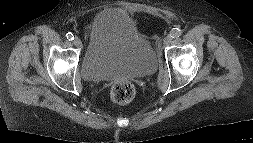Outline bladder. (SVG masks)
<instances>
[{
	"label": "bladder",
	"mask_w": 253,
	"mask_h": 143,
	"mask_svg": "<svg viewBox=\"0 0 253 143\" xmlns=\"http://www.w3.org/2000/svg\"><path fill=\"white\" fill-rule=\"evenodd\" d=\"M156 65L152 46L125 11L112 7L94 17L81 65L86 80L145 77Z\"/></svg>",
	"instance_id": "bladder-1"
}]
</instances>
